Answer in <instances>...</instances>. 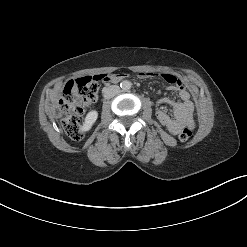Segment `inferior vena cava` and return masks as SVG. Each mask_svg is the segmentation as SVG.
Segmentation results:
<instances>
[{
  "instance_id": "obj_1",
  "label": "inferior vena cava",
  "mask_w": 247,
  "mask_h": 247,
  "mask_svg": "<svg viewBox=\"0 0 247 247\" xmlns=\"http://www.w3.org/2000/svg\"><path fill=\"white\" fill-rule=\"evenodd\" d=\"M120 92V88L117 85H111L109 87L104 88L103 96L105 99H110L117 95Z\"/></svg>"
}]
</instances>
